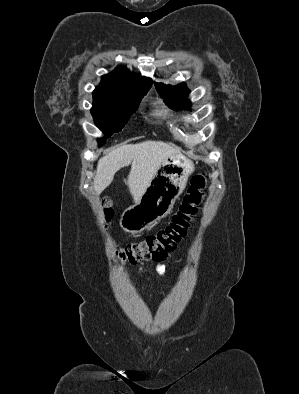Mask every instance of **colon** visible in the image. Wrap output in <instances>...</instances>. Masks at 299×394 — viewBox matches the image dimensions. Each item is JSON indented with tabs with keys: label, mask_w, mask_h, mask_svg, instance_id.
<instances>
[{
	"label": "colon",
	"mask_w": 299,
	"mask_h": 394,
	"mask_svg": "<svg viewBox=\"0 0 299 394\" xmlns=\"http://www.w3.org/2000/svg\"><path fill=\"white\" fill-rule=\"evenodd\" d=\"M205 186V174L193 176L179 210L173 215L170 223L145 239L120 248L117 251L118 258L123 263H137L142 260H161L166 257L185 236L192 217L197 213ZM101 207L106 220H109L112 215L111 199L103 197Z\"/></svg>",
	"instance_id": "1"
}]
</instances>
